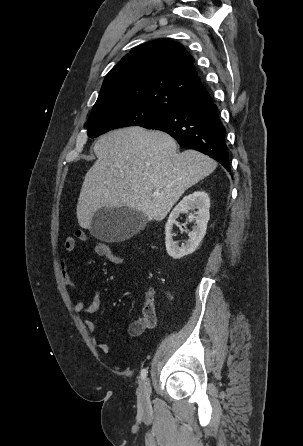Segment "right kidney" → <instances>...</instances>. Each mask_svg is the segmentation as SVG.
<instances>
[{
	"instance_id": "ca27d5eb",
	"label": "right kidney",
	"mask_w": 303,
	"mask_h": 446,
	"mask_svg": "<svg viewBox=\"0 0 303 446\" xmlns=\"http://www.w3.org/2000/svg\"><path fill=\"white\" fill-rule=\"evenodd\" d=\"M210 198L205 191H196L185 196L171 212L165 227V245L169 256L173 259H180L192 254L205 236L209 214ZM197 209V211H195ZM189 220L196 222L193 230L189 232V239L181 247L172 239V228L175 220L181 213H189Z\"/></svg>"
}]
</instances>
